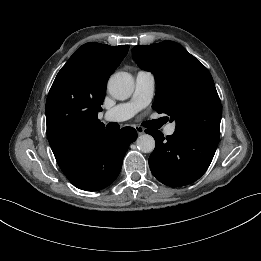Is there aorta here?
<instances>
[{"label":"aorta","mask_w":261,"mask_h":261,"mask_svg":"<svg viewBox=\"0 0 261 261\" xmlns=\"http://www.w3.org/2000/svg\"><path fill=\"white\" fill-rule=\"evenodd\" d=\"M109 93L117 100L129 98L134 91V80L127 72H117L108 81ZM137 148L143 153H151L155 148V140L151 135L143 134L136 140Z\"/></svg>","instance_id":"aorta-1"}]
</instances>
